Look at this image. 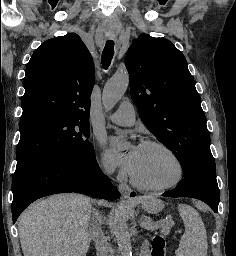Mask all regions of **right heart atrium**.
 I'll list each match as a JSON object with an SVG mask.
<instances>
[{
	"instance_id": "obj_1",
	"label": "right heart atrium",
	"mask_w": 236,
	"mask_h": 256,
	"mask_svg": "<svg viewBox=\"0 0 236 256\" xmlns=\"http://www.w3.org/2000/svg\"><path fill=\"white\" fill-rule=\"evenodd\" d=\"M101 167H102L104 173L108 176H111V175L115 174V172H116L115 164L107 155L102 156ZM117 177H118V179H122L124 177V174L122 172H119Z\"/></svg>"
}]
</instances>
